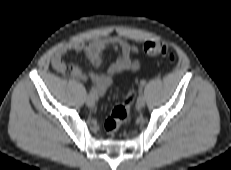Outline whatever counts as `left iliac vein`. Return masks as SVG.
Wrapping results in <instances>:
<instances>
[{
    "mask_svg": "<svg viewBox=\"0 0 231 170\" xmlns=\"http://www.w3.org/2000/svg\"><path fill=\"white\" fill-rule=\"evenodd\" d=\"M137 105L139 107H143L145 105V98L141 95L137 99Z\"/></svg>",
    "mask_w": 231,
    "mask_h": 170,
    "instance_id": "4c4485c4",
    "label": "left iliac vein"
}]
</instances>
